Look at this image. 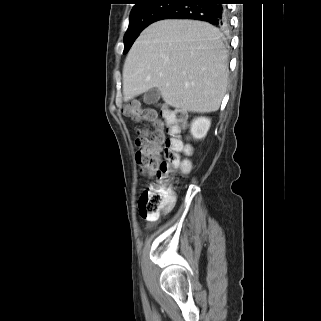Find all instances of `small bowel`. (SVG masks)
Returning <instances> with one entry per match:
<instances>
[{
	"mask_svg": "<svg viewBox=\"0 0 321 321\" xmlns=\"http://www.w3.org/2000/svg\"><path fill=\"white\" fill-rule=\"evenodd\" d=\"M155 219H156V217L148 218V220H151V221H153V220H155Z\"/></svg>",
	"mask_w": 321,
	"mask_h": 321,
	"instance_id": "small-bowel-1",
	"label": "small bowel"
}]
</instances>
